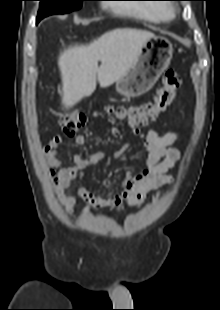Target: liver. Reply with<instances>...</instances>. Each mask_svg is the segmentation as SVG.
<instances>
[{
	"mask_svg": "<svg viewBox=\"0 0 220 310\" xmlns=\"http://www.w3.org/2000/svg\"><path fill=\"white\" fill-rule=\"evenodd\" d=\"M155 35L131 28L106 32L86 45L70 46L61 52L58 65L62 79V103L72 107L96 89L122 77L138 58L143 45ZM98 61L101 65L98 66Z\"/></svg>",
	"mask_w": 220,
	"mask_h": 310,
	"instance_id": "obj_1",
	"label": "liver"
}]
</instances>
